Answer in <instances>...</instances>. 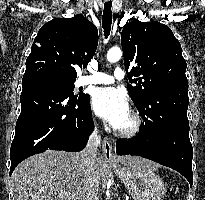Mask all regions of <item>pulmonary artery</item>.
Segmentation results:
<instances>
[{
    "label": "pulmonary artery",
    "mask_w": 205,
    "mask_h": 200,
    "mask_svg": "<svg viewBox=\"0 0 205 200\" xmlns=\"http://www.w3.org/2000/svg\"><path fill=\"white\" fill-rule=\"evenodd\" d=\"M124 77L125 72L121 68H116L113 75L92 70L90 75L84 76L79 80V84H112L117 80H122Z\"/></svg>",
    "instance_id": "e3ab8cb5"
}]
</instances>
